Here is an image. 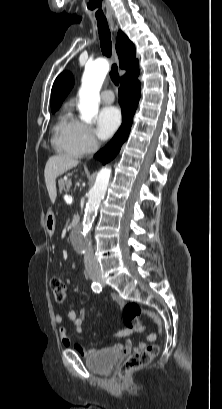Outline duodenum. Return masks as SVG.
Wrapping results in <instances>:
<instances>
[{
	"label": "duodenum",
	"instance_id": "obj_1",
	"mask_svg": "<svg viewBox=\"0 0 222 409\" xmlns=\"http://www.w3.org/2000/svg\"><path fill=\"white\" fill-rule=\"evenodd\" d=\"M72 223L73 225H77L79 223V218H74Z\"/></svg>",
	"mask_w": 222,
	"mask_h": 409
}]
</instances>
